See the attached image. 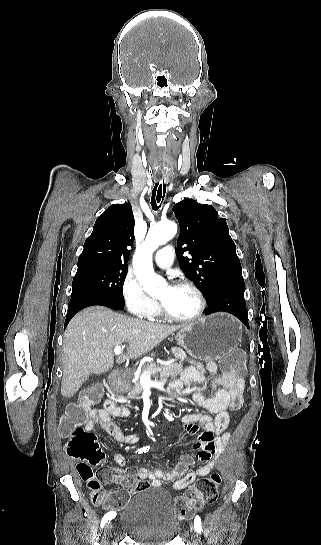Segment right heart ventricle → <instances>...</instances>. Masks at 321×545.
Returning a JSON list of instances; mask_svg holds the SVG:
<instances>
[{
  "instance_id": "right-heart-ventricle-1",
  "label": "right heart ventricle",
  "mask_w": 321,
  "mask_h": 545,
  "mask_svg": "<svg viewBox=\"0 0 321 545\" xmlns=\"http://www.w3.org/2000/svg\"><path fill=\"white\" fill-rule=\"evenodd\" d=\"M162 318H163V315L161 314L160 310L158 309V311L156 312L153 319H162Z\"/></svg>"
}]
</instances>
